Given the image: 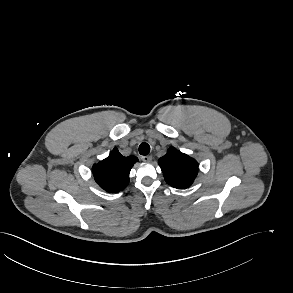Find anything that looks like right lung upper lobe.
I'll return each instance as SVG.
<instances>
[{
	"label": "right lung upper lobe",
	"mask_w": 293,
	"mask_h": 293,
	"mask_svg": "<svg viewBox=\"0 0 293 293\" xmlns=\"http://www.w3.org/2000/svg\"><path fill=\"white\" fill-rule=\"evenodd\" d=\"M137 161L136 156L124 157L114 148L106 159L93 166L95 181L107 192H119L129 184L130 170Z\"/></svg>",
	"instance_id": "cb5924a9"
}]
</instances>
